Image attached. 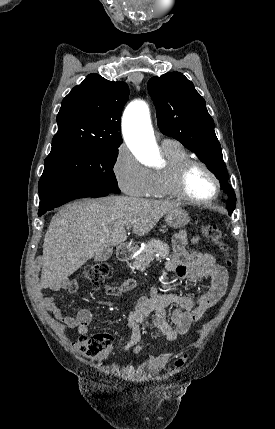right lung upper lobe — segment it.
Masks as SVG:
<instances>
[{"mask_svg":"<svg viewBox=\"0 0 275 429\" xmlns=\"http://www.w3.org/2000/svg\"><path fill=\"white\" fill-rule=\"evenodd\" d=\"M128 94L126 83L89 74L62 101L51 151L119 147L121 112Z\"/></svg>","mask_w":275,"mask_h":429,"instance_id":"right-lung-upper-lobe-1","label":"right lung upper lobe"}]
</instances>
